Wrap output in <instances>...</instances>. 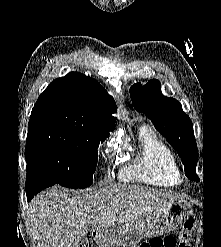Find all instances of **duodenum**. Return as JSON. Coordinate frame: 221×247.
I'll return each instance as SVG.
<instances>
[{
  "label": "duodenum",
  "instance_id": "410a0bca",
  "mask_svg": "<svg viewBox=\"0 0 221 247\" xmlns=\"http://www.w3.org/2000/svg\"><path fill=\"white\" fill-rule=\"evenodd\" d=\"M94 237H98V233L97 232H94L93 234H92Z\"/></svg>",
  "mask_w": 221,
  "mask_h": 247
}]
</instances>
